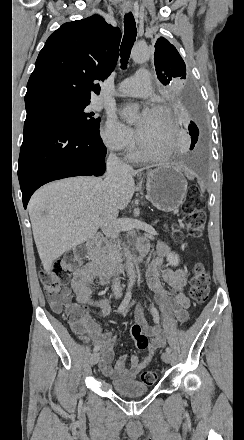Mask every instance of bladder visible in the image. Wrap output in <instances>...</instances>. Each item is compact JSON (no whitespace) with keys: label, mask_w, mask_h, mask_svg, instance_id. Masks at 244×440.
<instances>
[{"label":"bladder","mask_w":244,"mask_h":440,"mask_svg":"<svg viewBox=\"0 0 244 440\" xmlns=\"http://www.w3.org/2000/svg\"><path fill=\"white\" fill-rule=\"evenodd\" d=\"M113 391L124 396L143 395L149 392V386H145L141 380H119L113 382Z\"/></svg>","instance_id":"obj_1"}]
</instances>
